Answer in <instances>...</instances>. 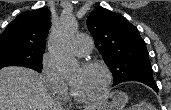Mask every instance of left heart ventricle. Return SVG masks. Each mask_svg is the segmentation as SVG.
Segmentation results:
<instances>
[{
    "mask_svg": "<svg viewBox=\"0 0 171 110\" xmlns=\"http://www.w3.org/2000/svg\"><path fill=\"white\" fill-rule=\"evenodd\" d=\"M68 81L77 95L91 97L102 90L105 84V75L101 69L96 67L88 69L77 67L68 76Z\"/></svg>",
    "mask_w": 171,
    "mask_h": 110,
    "instance_id": "obj_1",
    "label": "left heart ventricle"
}]
</instances>
